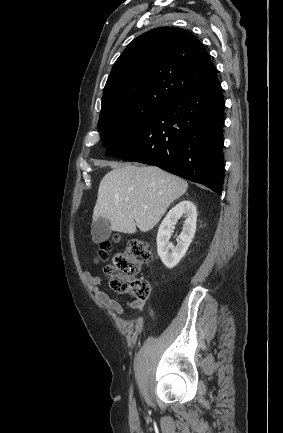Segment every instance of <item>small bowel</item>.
<instances>
[{"instance_id":"small-bowel-1","label":"small bowel","mask_w":283,"mask_h":433,"mask_svg":"<svg viewBox=\"0 0 283 433\" xmlns=\"http://www.w3.org/2000/svg\"><path fill=\"white\" fill-rule=\"evenodd\" d=\"M85 281L90 289V291L94 294L97 302L101 305L105 306L107 309L111 310L117 317L123 318L124 316V308L123 306L115 299H112L106 292L101 290V278L97 275H92L90 273H85ZM126 305L135 311V322H127L124 321L125 325L130 326V324L142 325L144 323L143 313L146 311L147 314L154 318V311L150 305H148L146 299H134L132 301H127Z\"/></svg>"}]
</instances>
